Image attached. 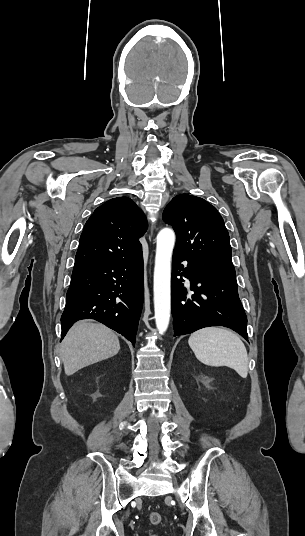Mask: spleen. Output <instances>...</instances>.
Segmentation results:
<instances>
[{"mask_svg":"<svg viewBox=\"0 0 305 536\" xmlns=\"http://www.w3.org/2000/svg\"><path fill=\"white\" fill-rule=\"evenodd\" d=\"M188 344L206 366H228L247 378L248 354L240 338L225 328H203L191 334Z\"/></svg>","mask_w":305,"mask_h":536,"instance_id":"spleen-1","label":"spleen"}]
</instances>
